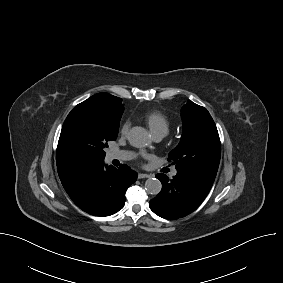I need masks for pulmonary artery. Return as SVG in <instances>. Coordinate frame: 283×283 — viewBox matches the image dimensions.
Instances as JSON below:
<instances>
[{"label":"pulmonary artery","instance_id":"pulmonary-artery-1","mask_svg":"<svg viewBox=\"0 0 283 283\" xmlns=\"http://www.w3.org/2000/svg\"><path fill=\"white\" fill-rule=\"evenodd\" d=\"M164 137V135L162 134H158V135H155V138L157 140H161L162 138ZM133 157V154L130 153V152H125V151H115V152H111L109 155H108V159L109 160H129ZM177 174V171L174 170L172 172V176H175Z\"/></svg>","mask_w":283,"mask_h":283}]
</instances>
